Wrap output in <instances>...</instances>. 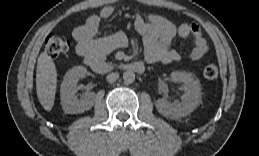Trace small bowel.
Masks as SVG:
<instances>
[{"label": "small bowel", "instance_id": "c3829d8e", "mask_svg": "<svg viewBox=\"0 0 259 156\" xmlns=\"http://www.w3.org/2000/svg\"><path fill=\"white\" fill-rule=\"evenodd\" d=\"M113 13L112 6H104L98 14L90 16L84 25L74 29L72 35L78 54L103 60L111 51L127 45V37L122 32L106 37L97 35L101 20L110 18ZM135 29L143 37L144 60L147 63L179 61L180 54L171 48V43L176 35L181 38L188 36L193 38L190 61L197 62L208 52L207 42L196 24L182 23L177 28L170 20L159 15L150 14L146 19L136 15Z\"/></svg>", "mask_w": 259, "mask_h": 156}]
</instances>
